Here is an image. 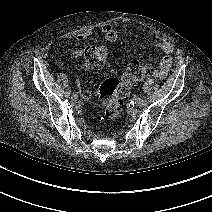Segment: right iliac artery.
I'll return each instance as SVG.
<instances>
[{
	"label": "right iliac artery",
	"mask_w": 212,
	"mask_h": 212,
	"mask_svg": "<svg viewBox=\"0 0 212 212\" xmlns=\"http://www.w3.org/2000/svg\"><path fill=\"white\" fill-rule=\"evenodd\" d=\"M70 95H71V91L70 90H68V91L65 92V96L66 97H69Z\"/></svg>",
	"instance_id": "82829eb1"
}]
</instances>
